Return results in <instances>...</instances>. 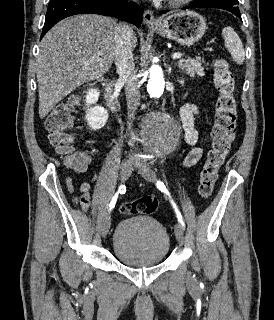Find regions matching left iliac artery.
Returning a JSON list of instances; mask_svg holds the SVG:
<instances>
[{"label": "left iliac artery", "instance_id": "1", "mask_svg": "<svg viewBox=\"0 0 274 320\" xmlns=\"http://www.w3.org/2000/svg\"><path fill=\"white\" fill-rule=\"evenodd\" d=\"M157 187L159 190H161L162 192H164L166 195H168L169 199H170V202L175 210V213H176V216H177V219L178 221L180 222V224L185 227V223L183 221V218H182V215L180 213V211L178 210L176 204L174 203V201L171 199V196H170V193L169 191L167 190V188L165 187L164 183L161 182V181H157L156 183Z\"/></svg>", "mask_w": 274, "mask_h": 320}]
</instances>
